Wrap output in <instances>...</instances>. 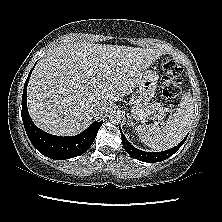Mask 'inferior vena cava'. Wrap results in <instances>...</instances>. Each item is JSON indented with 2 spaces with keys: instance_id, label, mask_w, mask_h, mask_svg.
Instances as JSON below:
<instances>
[{
  "instance_id": "602c4592",
  "label": "inferior vena cava",
  "mask_w": 222,
  "mask_h": 222,
  "mask_svg": "<svg viewBox=\"0 0 222 222\" xmlns=\"http://www.w3.org/2000/svg\"><path fill=\"white\" fill-rule=\"evenodd\" d=\"M104 111V107L101 105H96L93 108H91V114L92 115H99L100 113H102Z\"/></svg>"
}]
</instances>
